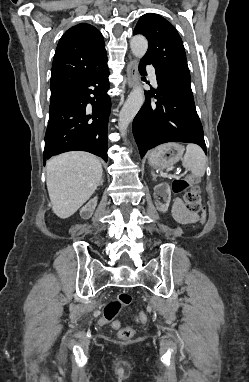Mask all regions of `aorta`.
Segmentation results:
<instances>
[{
	"mask_svg": "<svg viewBox=\"0 0 249 382\" xmlns=\"http://www.w3.org/2000/svg\"><path fill=\"white\" fill-rule=\"evenodd\" d=\"M130 47L133 55L142 58L148 49L147 39L142 35H136L131 39ZM144 99V91L140 86L135 87L119 113L118 129L125 136L127 128L139 111Z\"/></svg>",
	"mask_w": 249,
	"mask_h": 382,
	"instance_id": "1",
	"label": "aorta"
}]
</instances>
